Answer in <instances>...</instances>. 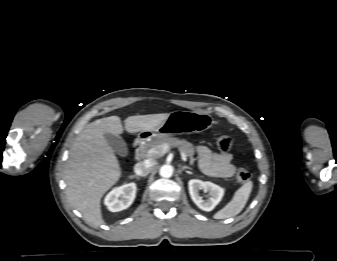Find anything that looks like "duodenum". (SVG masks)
I'll return each instance as SVG.
<instances>
[{"label":"duodenum","mask_w":337,"mask_h":261,"mask_svg":"<svg viewBox=\"0 0 337 261\" xmlns=\"http://www.w3.org/2000/svg\"><path fill=\"white\" fill-rule=\"evenodd\" d=\"M145 138L144 137H139L135 140L134 142V149L137 151L138 148L141 146V144L144 142Z\"/></svg>","instance_id":"duodenum-1"}]
</instances>
